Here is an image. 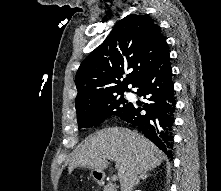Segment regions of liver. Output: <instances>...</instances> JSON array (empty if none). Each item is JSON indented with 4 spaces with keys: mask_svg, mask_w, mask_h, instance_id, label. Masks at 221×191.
<instances>
[{
    "mask_svg": "<svg viewBox=\"0 0 221 191\" xmlns=\"http://www.w3.org/2000/svg\"><path fill=\"white\" fill-rule=\"evenodd\" d=\"M109 157L116 162L120 184L132 173H144L160 166L165 155L147 138L122 127L100 130L87 137L73 152L68 171L85 167L102 172Z\"/></svg>",
    "mask_w": 221,
    "mask_h": 191,
    "instance_id": "1",
    "label": "liver"
}]
</instances>
